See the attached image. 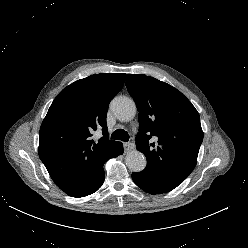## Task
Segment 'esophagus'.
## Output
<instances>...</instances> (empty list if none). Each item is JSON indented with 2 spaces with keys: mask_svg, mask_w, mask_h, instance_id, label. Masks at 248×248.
I'll return each instance as SVG.
<instances>
[{
  "mask_svg": "<svg viewBox=\"0 0 248 248\" xmlns=\"http://www.w3.org/2000/svg\"><path fill=\"white\" fill-rule=\"evenodd\" d=\"M135 149V145L133 143H124V151L125 153H129Z\"/></svg>",
  "mask_w": 248,
  "mask_h": 248,
  "instance_id": "obj_1",
  "label": "esophagus"
}]
</instances>
